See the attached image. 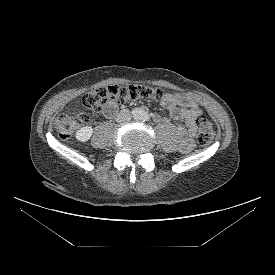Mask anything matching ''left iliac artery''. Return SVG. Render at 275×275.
Listing matches in <instances>:
<instances>
[{
	"label": "left iliac artery",
	"mask_w": 275,
	"mask_h": 275,
	"mask_svg": "<svg viewBox=\"0 0 275 275\" xmlns=\"http://www.w3.org/2000/svg\"><path fill=\"white\" fill-rule=\"evenodd\" d=\"M143 119H144V121H149V120H150V117H149V115H148L147 113H145V114L143 115Z\"/></svg>",
	"instance_id": "44dca946"
}]
</instances>
